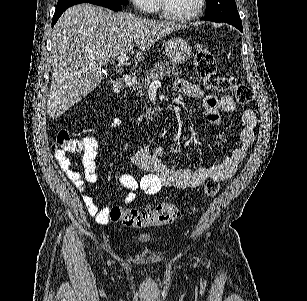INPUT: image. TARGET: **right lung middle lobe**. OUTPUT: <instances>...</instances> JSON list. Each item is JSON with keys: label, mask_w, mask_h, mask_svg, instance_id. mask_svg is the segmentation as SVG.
Wrapping results in <instances>:
<instances>
[{"label": "right lung middle lobe", "mask_w": 307, "mask_h": 301, "mask_svg": "<svg viewBox=\"0 0 307 301\" xmlns=\"http://www.w3.org/2000/svg\"><path fill=\"white\" fill-rule=\"evenodd\" d=\"M85 1H87V0H58L57 8L63 7V6H68V5H71V4L81 3V2H85ZM102 1L115 2V3H119L120 5H127L128 4V0H102Z\"/></svg>", "instance_id": "obj_1"}]
</instances>
